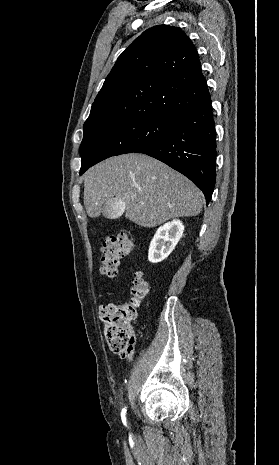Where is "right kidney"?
I'll return each instance as SVG.
<instances>
[{"instance_id":"obj_1","label":"right kidney","mask_w":279,"mask_h":465,"mask_svg":"<svg viewBox=\"0 0 279 465\" xmlns=\"http://www.w3.org/2000/svg\"><path fill=\"white\" fill-rule=\"evenodd\" d=\"M184 225L180 220H172L160 226L149 246L148 260L158 263L167 258L183 235Z\"/></svg>"}]
</instances>
